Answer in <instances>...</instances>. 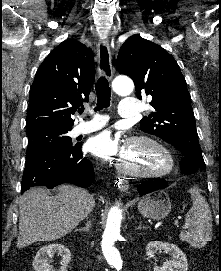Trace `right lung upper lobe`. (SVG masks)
<instances>
[{"mask_svg": "<svg viewBox=\"0 0 221 271\" xmlns=\"http://www.w3.org/2000/svg\"><path fill=\"white\" fill-rule=\"evenodd\" d=\"M94 56L77 40L59 44L40 65L31 86L26 131L59 125L73 126L71 115L88 101L94 83Z\"/></svg>", "mask_w": 221, "mask_h": 271, "instance_id": "cb5924a9", "label": "right lung upper lobe"}]
</instances>
